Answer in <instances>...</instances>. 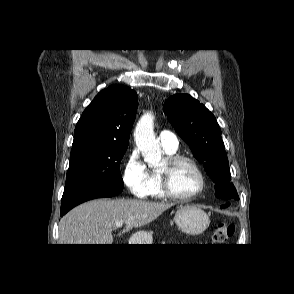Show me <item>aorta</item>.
<instances>
[{"mask_svg": "<svg viewBox=\"0 0 294 294\" xmlns=\"http://www.w3.org/2000/svg\"><path fill=\"white\" fill-rule=\"evenodd\" d=\"M134 138L149 167H158L161 164L162 152L159 141L154 134V115L145 113L138 121Z\"/></svg>", "mask_w": 294, "mask_h": 294, "instance_id": "1", "label": "aorta"}]
</instances>
